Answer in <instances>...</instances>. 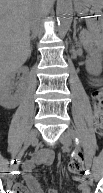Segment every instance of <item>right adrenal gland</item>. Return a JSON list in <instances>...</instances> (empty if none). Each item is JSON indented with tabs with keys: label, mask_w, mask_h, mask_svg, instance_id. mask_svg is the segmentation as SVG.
<instances>
[{
	"label": "right adrenal gland",
	"mask_w": 103,
	"mask_h": 193,
	"mask_svg": "<svg viewBox=\"0 0 103 193\" xmlns=\"http://www.w3.org/2000/svg\"><path fill=\"white\" fill-rule=\"evenodd\" d=\"M33 38H34L33 36L30 37V39H33ZM31 50H32V46H31Z\"/></svg>",
	"instance_id": "2a0ac1e0"
}]
</instances>
